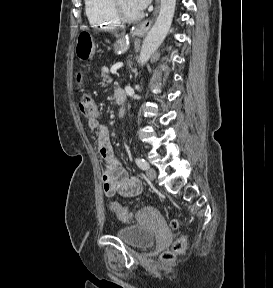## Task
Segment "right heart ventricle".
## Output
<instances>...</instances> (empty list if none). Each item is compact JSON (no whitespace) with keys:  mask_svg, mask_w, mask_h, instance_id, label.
I'll list each match as a JSON object with an SVG mask.
<instances>
[{"mask_svg":"<svg viewBox=\"0 0 273 288\" xmlns=\"http://www.w3.org/2000/svg\"><path fill=\"white\" fill-rule=\"evenodd\" d=\"M85 11L94 28L112 30L120 24L112 14L110 0H85Z\"/></svg>","mask_w":273,"mask_h":288,"instance_id":"1","label":"right heart ventricle"}]
</instances>
